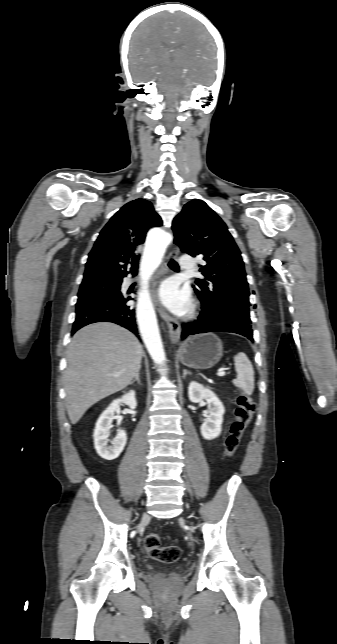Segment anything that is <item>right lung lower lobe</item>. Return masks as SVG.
<instances>
[{"mask_svg": "<svg viewBox=\"0 0 337 644\" xmlns=\"http://www.w3.org/2000/svg\"><path fill=\"white\" fill-rule=\"evenodd\" d=\"M130 272L133 275H136L137 269ZM122 278L120 279L121 282ZM129 300L133 299L130 296H127L126 293L120 292L116 296L110 298L77 306L76 319L73 323L72 334L83 326L91 323L113 322L127 328L139 337L135 319V309L127 305Z\"/></svg>", "mask_w": 337, "mask_h": 644, "instance_id": "98d812e1", "label": "right lung lower lobe"}]
</instances>
